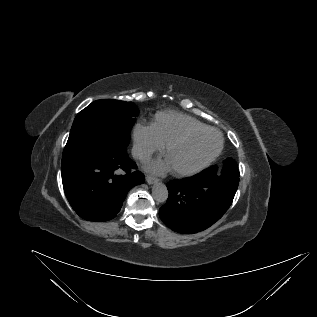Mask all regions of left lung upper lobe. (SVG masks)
I'll return each mask as SVG.
<instances>
[{
  "mask_svg": "<svg viewBox=\"0 0 317 317\" xmlns=\"http://www.w3.org/2000/svg\"><path fill=\"white\" fill-rule=\"evenodd\" d=\"M224 162H225V164H224V167L222 169V173L229 174V175H232L234 177H239V170H238L236 162L232 158H227L224 160ZM210 170L216 172L217 166L210 167Z\"/></svg>",
  "mask_w": 317,
  "mask_h": 317,
  "instance_id": "1",
  "label": "left lung upper lobe"
}]
</instances>
